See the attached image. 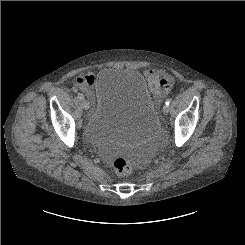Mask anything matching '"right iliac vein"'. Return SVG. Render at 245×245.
<instances>
[{
	"instance_id": "1",
	"label": "right iliac vein",
	"mask_w": 245,
	"mask_h": 245,
	"mask_svg": "<svg viewBox=\"0 0 245 245\" xmlns=\"http://www.w3.org/2000/svg\"><path fill=\"white\" fill-rule=\"evenodd\" d=\"M82 107L85 109V110H88L89 107H90V104L87 100H83L82 103H81Z\"/></svg>"
}]
</instances>
